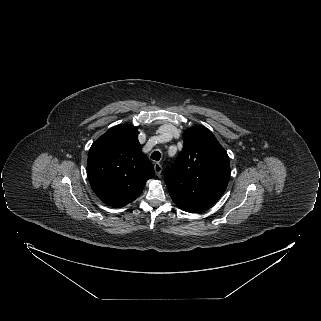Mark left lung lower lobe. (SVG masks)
<instances>
[{
    "instance_id": "0a47b994",
    "label": "left lung lower lobe",
    "mask_w": 321,
    "mask_h": 321,
    "mask_svg": "<svg viewBox=\"0 0 321 321\" xmlns=\"http://www.w3.org/2000/svg\"><path fill=\"white\" fill-rule=\"evenodd\" d=\"M177 206L186 211V212H190V213H199L204 211L206 208H202V207H196V206H188V205H179L177 204Z\"/></svg>"
}]
</instances>
